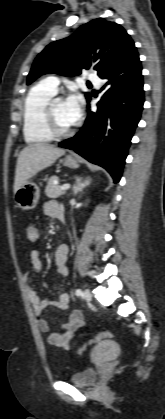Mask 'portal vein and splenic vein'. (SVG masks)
I'll return each instance as SVG.
<instances>
[{
	"label": "portal vein and splenic vein",
	"instance_id": "portal-vein-and-splenic-vein-1",
	"mask_svg": "<svg viewBox=\"0 0 165 419\" xmlns=\"http://www.w3.org/2000/svg\"><path fill=\"white\" fill-rule=\"evenodd\" d=\"M70 188V184H63L62 186H61V190H68Z\"/></svg>",
	"mask_w": 165,
	"mask_h": 419
}]
</instances>
